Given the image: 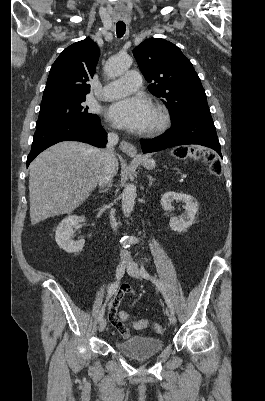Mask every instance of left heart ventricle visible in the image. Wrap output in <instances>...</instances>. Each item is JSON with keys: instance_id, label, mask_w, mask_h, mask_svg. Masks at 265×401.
<instances>
[{"instance_id": "left-heart-ventricle-1", "label": "left heart ventricle", "mask_w": 265, "mask_h": 401, "mask_svg": "<svg viewBox=\"0 0 265 401\" xmlns=\"http://www.w3.org/2000/svg\"><path fill=\"white\" fill-rule=\"evenodd\" d=\"M156 121V113L155 111L152 109L151 114L149 116V120H148V124H147V128L151 127Z\"/></svg>"}]
</instances>
